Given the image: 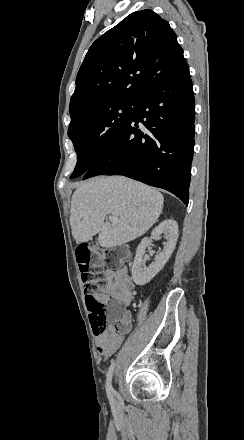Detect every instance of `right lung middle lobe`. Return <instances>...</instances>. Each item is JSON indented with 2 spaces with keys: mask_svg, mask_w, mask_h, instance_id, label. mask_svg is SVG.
<instances>
[{
  "mask_svg": "<svg viewBox=\"0 0 244 440\" xmlns=\"http://www.w3.org/2000/svg\"><path fill=\"white\" fill-rule=\"evenodd\" d=\"M139 98H107L70 110L68 136L77 164L70 178L83 175L125 129Z\"/></svg>",
  "mask_w": 244,
  "mask_h": 440,
  "instance_id": "1",
  "label": "right lung middle lobe"
}]
</instances>
